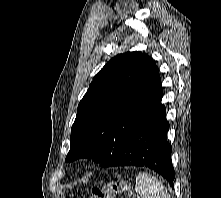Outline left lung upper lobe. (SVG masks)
<instances>
[{
  "label": "left lung upper lobe",
  "instance_id": "obj_1",
  "mask_svg": "<svg viewBox=\"0 0 221 198\" xmlns=\"http://www.w3.org/2000/svg\"><path fill=\"white\" fill-rule=\"evenodd\" d=\"M163 90L153 60L141 52L113 57L78 105L66 162L102 163L153 113Z\"/></svg>",
  "mask_w": 221,
  "mask_h": 198
}]
</instances>
